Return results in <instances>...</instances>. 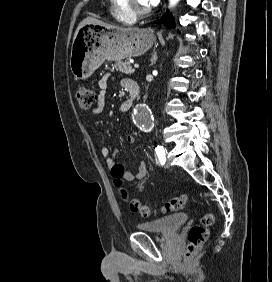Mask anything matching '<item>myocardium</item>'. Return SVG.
I'll return each mask as SVG.
<instances>
[{"instance_id": "f54148a6", "label": "myocardium", "mask_w": 272, "mask_h": 282, "mask_svg": "<svg viewBox=\"0 0 272 282\" xmlns=\"http://www.w3.org/2000/svg\"><path fill=\"white\" fill-rule=\"evenodd\" d=\"M125 8L128 10L130 14L135 17H142L147 15L150 12V9H141L136 4V0H124Z\"/></svg>"}]
</instances>
